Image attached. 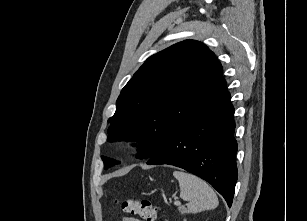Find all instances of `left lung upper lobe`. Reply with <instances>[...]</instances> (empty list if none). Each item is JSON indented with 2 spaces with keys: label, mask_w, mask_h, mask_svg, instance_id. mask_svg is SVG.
Here are the masks:
<instances>
[{
  "label": "left lung upper lobe",
  "mask_w": 307,
  "mask_h": 221,
  "mask_svg": "<svg viewBox=\"0 0 307 221\" xmlns=\"http://www.w3.org/2000/svg\"><path fill=\"white\" fill-rule=\"evenodd\" d=\"M227 89L222 66L204 44L186 40L149 57L122 89L108 140H138L150 159L181 127ZM104 169L115 164L102 157Z\"/></svg>",
  "instance_id": "1"
}]
</instances>
